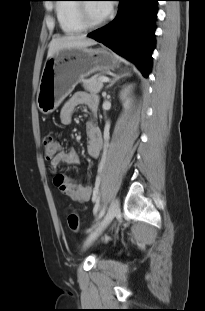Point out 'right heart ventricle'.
<instances>
[{
	"mask_svg": "<svg viewBox=\"0 0 205 311\" xmlns=\"http://www.w3.org/2000/svg\"><path fill=\"white\" fill-rule=\"evenodd\" d=\"M60 2H72L75 0H59ZM56 17L61 30L67 35H74L84 31L77 15V4L58 3L56 5Z\"/></svg>",
	"mask_w": 205,
	"mask_h": 311,
	"instance_id": "1",
	"label": "right heart ventricle"
}]
</instances>
